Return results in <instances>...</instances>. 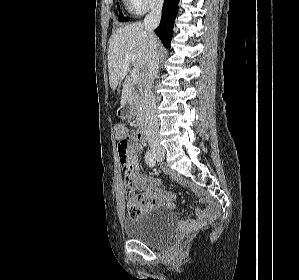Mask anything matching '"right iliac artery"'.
Here are the masks:
<instances>
[{
  "label": "right iliac artery",
  "instance_id": "obj_1",
  "mask_svg": "<svg viewBox=\"0 0 299 280\" xmlns=\"http://www.w3.org/2000/svg\"><path fill=\"white\" fill-rule=\"evenodd\" d=\"M145 161L150 167L155 166V159L153 154L148 150L145 155Z\"/></svg>",
  "mask_w": 299,
  "mask_h": 280
}]
</instances>
